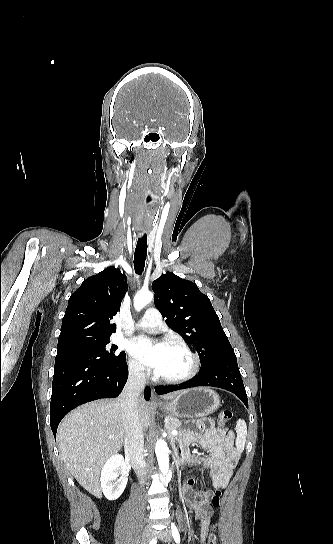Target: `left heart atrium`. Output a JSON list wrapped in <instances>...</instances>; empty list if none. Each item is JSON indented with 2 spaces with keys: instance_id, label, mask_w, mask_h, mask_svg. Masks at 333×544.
<instances>
[{
  "instance_id": "1",
  "label": "left heart atrium",
  "mask_w": 333,
  "mask_h": 544,
  "mask_svg": "<svg viewBox=\"0 0 333 544\" xmlns=\"http://www.w3.org/2000/svg\"><path fill=\"white\" fill-rule=\"evenodd\" d=\"M167 348L168 344L164 342L155 343L144 336L136 337L128 343L130 353L154 371L160 368Z\"/></svg>"
}]
</instances>
